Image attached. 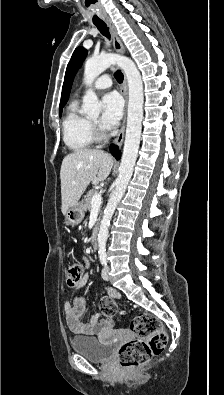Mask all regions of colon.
Segmentation results:
<instances>
[{"instance_id":"colon-1","label":"colon","mask_w":224,"mask_h":395,"mask_svg":"<svg viewBox=\"0 0 224 395\" xmlns=\"http://www.w3.org/2000/svg\"><path fill=\"white\" fill-rule=\"evenodd\" d=\"M67 278L71 284H76L82 275L81 267L72 263L67 267ZM103 314L122 319L123 313L118 305L109 297H103L99 302ZM131 329L135 338L123 344L118 350L120 366L126 370L138 368L165 349L167 333L162 323L149 313H141L134 317Z\"/></svg>"}]
</instances>
